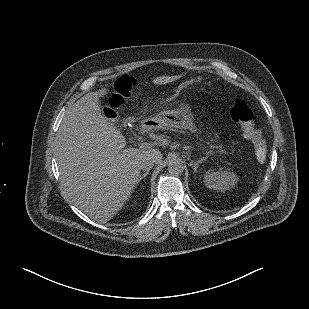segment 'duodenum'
Returning a JSON list of instances; mask_svg holds the SVG:
<instances>
[{"label":"duodenum","mask_w":309,"mask_h":309,"mask_svg":"<svg viewBox=\"0 0 309 309\" xmlns=\"http://www.w3.org/2000/svg\"><path fill=\"white\" fill-rule=\"evenodd\" d=\"M141 129L145 132V131L149 130V125H142Z\"/></svg>","instance_id":"obj_1"}]
</instances>
